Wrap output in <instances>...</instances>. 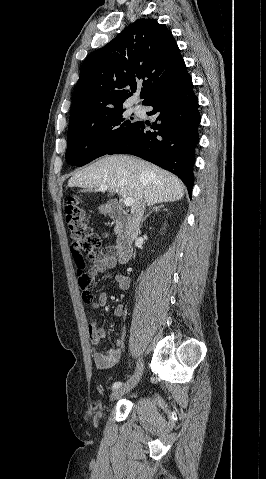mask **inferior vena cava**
<instances>
[{"mask_svg": "<svg viewBox=\"0 0 266 479\" xmlns=\"http://www.w3.org/2000/svg\"><path fill=\"white\" fill-rule=\"evenodd\" d=\"M145 204L146 203L144 201L141 202L133 211L134 222L131 228V234L133 239H136L138 233L140 232V222L142 221V217L145 211Z\"/></svg>", "mask_w": 266, "mask_h": 479, "instance_id": "602c4592", "label": "inferior vena cava"}]
</instances>
